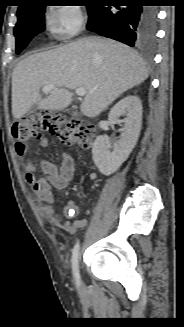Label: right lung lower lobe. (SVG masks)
Wrapping results in <instances>:
<instances>
[{
  "instance_id": "1",
  "label": "right lung lower lobe",
  "mask_w": 184,
  "mask_h": 327,
  "mask_svg": "<svg viewBox=\"0 0 184 327\" xmlns=\"http://www.w3.org/2000/svg\"><path fill=\"white\" fill-rule=\"evenodd\" d=\"M128 6H93L87 29L129 46L147 47L157 32V10L143 7L141 0H129Z\"/></svg>"
}]
</instances>
